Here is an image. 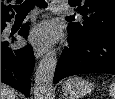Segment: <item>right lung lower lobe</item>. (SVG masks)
Returning <instances> with one entry per match:
<instances>
[{
    "mask_svg": "<svg viewBox=\"0 0 115 99\" xmlns=\"http://www.w3.org/2000/svg\"><path fill=\"white\" fill-rule=\"evenodd\" d=\"M10 20L1 23V33L6 27V22H10ZM28 31V24H24L19 35L26 38ZM14 41V37L12 39L1 37V82L19 90L28 97L30 77L34 69V53L30 45L18 50L10 48V42Z\"/></svg>",
    "mask_w": 115,
    "mask_h": 99,
    "instance_id": "98d812e1",
    "label": "right lung lower lobe"
}]
</instances>
